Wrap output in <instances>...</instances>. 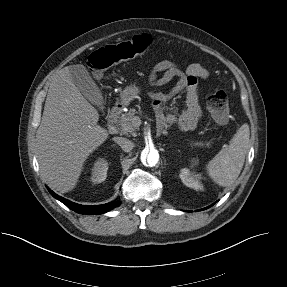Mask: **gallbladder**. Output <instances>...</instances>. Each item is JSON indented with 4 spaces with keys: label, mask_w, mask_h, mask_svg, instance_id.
Returning <instances> with one entry per match:
<instances>
[{
    "label": "gallbladder",
    "mask_w": 287,
    "mask_h": 287,
    "mask_svg": "<svg viewBox=\"0 0 287 287\" xmlns=\"http://www.w3.org/2000/svg\"><path fill=\"white\" fill-rule=\"evenodd\" d=\"M69 71L74 84L83 96L99 109H103L105 105L103 95L86 67L82 64L71 65Z\"/></svg>",
    "instance_id": "bac80fb5"
}]
</instances>
